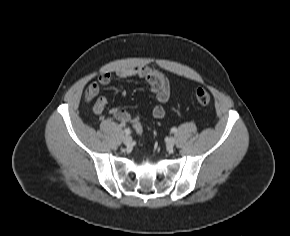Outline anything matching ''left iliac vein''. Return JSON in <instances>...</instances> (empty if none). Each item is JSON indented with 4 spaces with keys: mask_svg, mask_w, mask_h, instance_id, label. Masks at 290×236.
Masks as SVG:
<instances>
[{
    "mask_svg": "<svg viewBox=\"0 0 290 236\" xmlns=\"http://www.w3.org/2000/svg\"><path fill=\"white\" fill-rule=\"evenodd\" d=\"M175 145V138L174 137H170L167 142H166V146L169 150H172L173 147Z\"/></svg>",
    "mask_w": 290,
    "mask_h": 236,
    "instance_id": "1",
    "label": "left iliac vein"
}]
</instances>
